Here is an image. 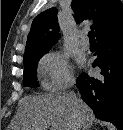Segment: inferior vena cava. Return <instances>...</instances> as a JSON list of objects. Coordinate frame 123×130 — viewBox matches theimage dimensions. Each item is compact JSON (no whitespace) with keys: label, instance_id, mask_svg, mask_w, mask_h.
<instances>
[{"label":"inferior vena cava","instance_id":"602c4592","mask_svg":"<svg viewBox=\"0 0 123 130\" xmlns=\"http://www.w3.org/2000/svg\"><path fill=\"white\" fill-rule=\"evenodd\" d=\"M74 81L71 82V85H74ZM70 95L73 97L74 100L77 99L75 93L71 92ZM73 127L71 128L72 130H79V112L77 108L74 110V115H73Z\"/></svg>","mask_w":123,"mask_h":130}]
</instances>
